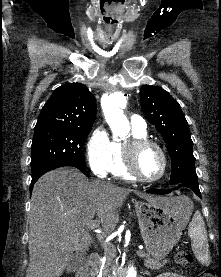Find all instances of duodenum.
<instances>
[{"label":"duodenum","instance_id":"1","mask_svg":"<svg viewBox=\"0 0 221 277\" xmlns=\"http://www.w3.org/2000/svg\"><path fill=\"white\" fill-rule=\"evenodd\" d=\"M101 265V256L98 253H93L88 264L82 268L77 277H94Z\"/></svg>","mask_w":221,"mask_h":277}]
</instances>
